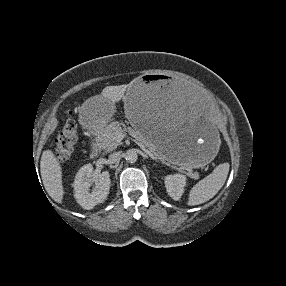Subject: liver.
Wrapping results in <instances>:
<instances>
[{
  "instance_id": "obj_1",
  "label": "liver",
  "mask_w": 286,
  "mask_h": 286,
  "mask_svg": "<svg viewBox=\"0 0 286 286\" xmlns=\"http://www.w3.org/2000/svg\"><path fill=\"white\" fill-rule=\"evenodd\" d=\"M129 89V85L110 86L103 89L100 98L115 105ZM52 146V144H51ZM40 172L43 185L48 195L57 203H62L64 189L62 185V168L52 150L42 153Z\"/></svg>"
}]
</instances>
